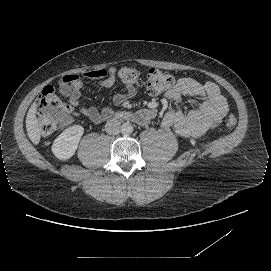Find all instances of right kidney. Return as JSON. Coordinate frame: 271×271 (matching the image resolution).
Instances as JSON below:
<instances>
[{"label":"right kidney","instance_id":"ca27d5eb","mask_svg":"<svg viewBox=\"0 0 271 271\" xmlns=\"http://www.w3.org/2000/svg\"><path fill=\"white\" fill-rule=\"evenodd\" d=\"M82 134L83 127L79 125L65 129L53 143L54 154L62 160L70 158L74 154Z\"/></svg>","mask_w":271,"mask_h":271}]
</instances>
